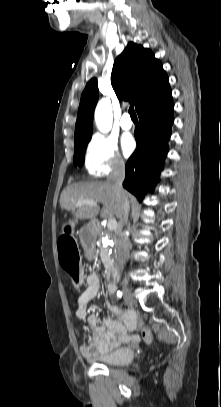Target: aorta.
Listing matches in <instances>:
<instances>
[{
	"label": "aorta",
	"instance_id": "obj_1",
	"mask_svg": "<svg viewBox=\"0 0 221 407\" xmlns=\"http://www.w3.org/2000/svg\"><path fill=\"white\" fill-rule=\"evenodd\" d=\"M112 107L108 99H101L95 109V122L97 128L104 133L110 131L112 127Z\"/></svg>",
	"mask_w": 221,
	"mask_h": 407
}]
</instances>
